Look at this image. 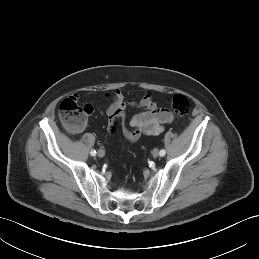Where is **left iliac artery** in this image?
I'll return each mask as SVG.
<instances>
[{
    "mask_svg": "<svg viewBox=\"0 0 259 259\" xmlns=\"http://www.w3.org/2000/svg\"><path fill=\"white\" fill-rule=\"evenodd\" d=\"M166 154V151L164 149L160 150L159 155L164 156Z\"/></svg>",
    "mask_w": 259,
    "mask_h": 259,
    "instance_id": "obj_1",
    "label": "left iliac artery"
}]
</instances>
